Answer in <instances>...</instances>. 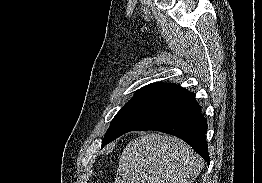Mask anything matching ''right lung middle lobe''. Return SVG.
I'll return each mask as SVG.
<instances>
[{
    "mask_svg": "<svg viewBox=\"0 0 262 183\" xmlns=\"http://www.w3.org/2000/svg\"><path fill=\"white\" fill-rule=\"evenodd\" d=\"M157 92H136L113 118L103 140L102 146L121 135L126 126L145 108Z\"/></svg>",
    "mask_w": 262,
    "mask_h": 183,
    "instance_id": "obj_1",
    "label": "right lung middle lobe"
}]
</instances>
